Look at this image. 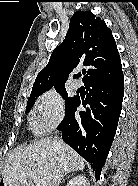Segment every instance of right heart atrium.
I'll list each match as a JSON object with an SVG mask.
<instances>
[{
  "instance_id": "1",
  "label": "right heart atrium",
  "mask_w": 138,
  "mask_h": 186,
  "mask_svg": "<svg viewBox=\"0 0 138 186\" xmlns=\"http://www.w3.org/2000/svg\"><path fill=\"white\" fill-rule=\"evenodd\" d=\"M64 118V101L55 89L43 93L35 104L34 125L40 132L56 128Z\"/></svg>"
}]
</instances>
